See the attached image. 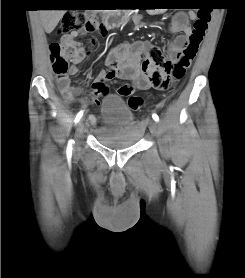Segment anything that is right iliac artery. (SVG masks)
<instances>
[{"label": "right iliac artery", "mask_w": 245, "mask_h": 278, "mask_svg": "<svg viewBox=\"0 0 245 278\" xmlns=\"http://www.w3.org/2000/svg\"><path fill=\"white\" fill-rule=\"evenodd\" d=\"M82 116H83V111H80L77 114V116H76L75 123H77ZM73 143H74V141L72 139L69 140L68 145H67V154H71L72 153V145H73Z\"/></svg>", "instance_id": "obj_1"}]
</instances>
